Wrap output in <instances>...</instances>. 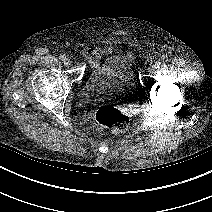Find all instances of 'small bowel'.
<instances>
[{"label": "small bowel", "instance_id": "1", "mask_svg": "<svg viewBox=\"0 0 212 212\" xmlns=\"http://www.w3.org/2000/svg\"><path fill=\"white\" fill-rule=\"evenodd\" d=\"M112 53L111 47H91L83 50V55L88 59L91 66H97L101 56Z\"/></svg>", "mask_w": 212, "mask_h": 212}]
</instances>
